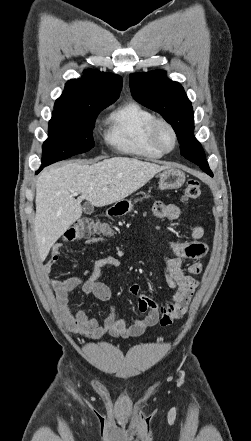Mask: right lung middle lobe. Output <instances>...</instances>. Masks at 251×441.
Masks as SVG:
<instances>
[{"label": "right lung middle lobe", "instance_id": "obj_1", "mask_svg": "<svg viewBox=\"0 0 251 441\" xmlns=\"http://www.w3.org/2000/svg\"><path fill=\"white\" fill-rule=\"evenodd\" d=\"M113 102L88 99L72 109L54 108L49 122V138L43 144L42 164L49 165L92 149L95 119Z\"/></svg>", "mask_w": 251, "mask_h": 441}]
</instances>
